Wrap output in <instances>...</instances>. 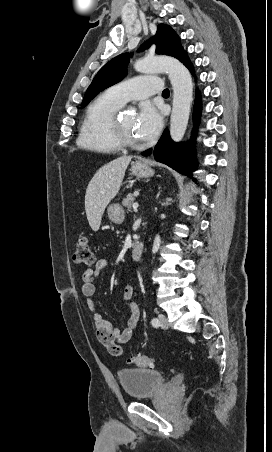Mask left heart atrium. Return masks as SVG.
Instances as JSON below:
<instances>
[{
  "mask_svg": "<svg viewBox=\"0 0 272 452\" xmlns=\"http://www.w3.org/2000/svg\"><path fill=\"white\" fill-rule=\"evenodd\" d=\"M162 126V116L152 105L145 104L136 123L137 136L142 140H151L157 136Z\"/></svg>",
  "mask_w": 272,
  "mask_h": 452,
  "instance_id": "left-heart-atrium-1",
  "label": "left heart atrium"
}]
</instances>
